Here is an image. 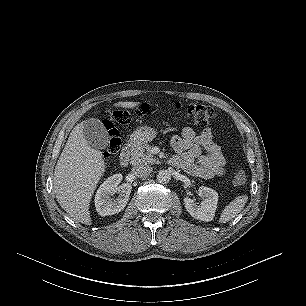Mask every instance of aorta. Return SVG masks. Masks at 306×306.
I'll use <instances>...</instances> for the list:
<instances>
[{
	"mask_svg": "<svg viewBox=\"0 0 306 306\" xmlns=\"http://www.w3.org/2000/svg\"><path fill=\"white\" fill-rule=\"evenodd\" d=\"M171 179V174L167 170H160L158 175H157V180L160 183L166 184L170 181Z\"/></svg>",
	"mask_w": 306,
	"mask_h": 306,
	"instance_id": "1",
	"label": "aorta"
}]
</instances>
